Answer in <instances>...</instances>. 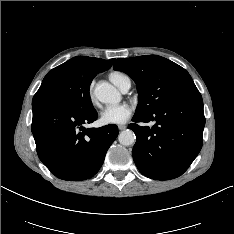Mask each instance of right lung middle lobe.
I'll list each match as a JSON object with an SVG mask.
<instances>
[{
    "mask_svg": "<svg viewBox=\"0 0 234 234\" xmlns=\"http://www.w3.org/2000/svg\"><path fill=\"white\" fill-rule=\"evenodd\" d=\"M96 75L83 72L68 60L47 73L33 97L32 106L52 103L80 111L93 109L89 88Z\"/></svg>",
    "mask_w": 234,
    "mask_h": 234,
    "instance_id": "right-lung-middle-lobe-1",
    "label": "right lung middle lobe"
}]
</instances>
